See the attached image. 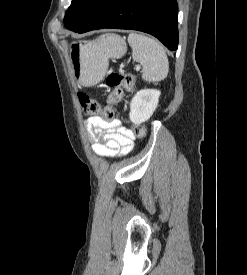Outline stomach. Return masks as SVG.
Instances as JSON below:
<instances>
[{
    "label": "stomach",
    "instance_id": "0dacf381",
    "mask_svg": "<svg viewBox=\"0 0 247 275\" xmlns=\"http://www.w3.org/2000/svg\"><path fill=\"white\" fill-rule=\"evenodd\" d=\"M106 44L97 42L73 44L70 50V68L80 85L91 86L103 79L110 58H120L127 51L123 38L115 34L104 36Z\"/></svg>",
    "mask_w": 247,
    "mask_h": 275
}]
</instances>
